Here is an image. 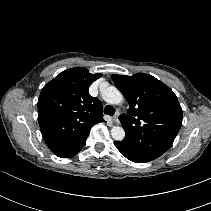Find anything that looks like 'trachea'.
Wrapping results in <instances>:
<instances>
[{
	"mask_svg": "<svg viewBox=\"0 0 211 211\" xmlns=\"http://www.w3.org/2000/svg\"><path fill=\"white\" fill-rule=\"evenodd\" d=\"M104 113L113 116L115 114V108L111 105H106L104 108Z\"/></svg>",
	"mask_w": 211,
	"mask_h": 211,
	"instance_id": "trachea-1",
	"label": "trachea"
}]
</instances>
